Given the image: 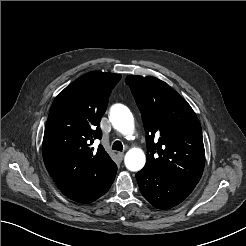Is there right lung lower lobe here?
<instances>
[{
  "label": "right lung lower lobe",
  "instance_id": "obj_1",
  "mask_svg": "<svg viewBox=\"0 0 246 246\" xmlns=\"http://www.w3.org/2000/svg\"><path fill=\"white\" fill-rule=\"evenodd\" d=\"M117 169L106 176H89L77 182L58 185L60 191L68 198L79 203H91L104 195L112 185Z\"/></svg>",
  "mask_w": 246,
  "mask_h": 246
}]
</instances>
